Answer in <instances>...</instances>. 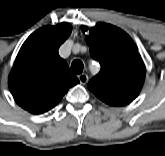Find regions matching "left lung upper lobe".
Here are the masks:
<instances>
[{"instance_id": "1", "label": "left lung upper lobe", "mask_w": 165, "mask_h": 156, "mask_svg": "<svg viewBox=\"0 0 165 156\" xmlns=\"http://www.w3.org/2000/svg\"><path fill=\"white\" fill-rule=\"evenodd\" d=\"M85 41L101 69L88 83L89 90L104 103L120 107L131 103L142 89L145 65L131 37L118 27L97 23Z\"/></svg>"}]
</instances>
